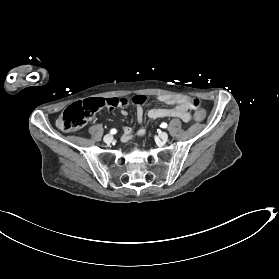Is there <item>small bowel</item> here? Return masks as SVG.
Segmentation results:
<instances>
[{
  "instance_id": "c3829d8e",
  "label": "small bowel",
  "mask_w": 279,
  "mask_h": 279,
  "mask_svg": "<svg viewBox=\"0 0 279 279\" xmlns=\"http://www.w3.org/2000/svg\"><path fill=\"white\" fill-rule=\"evenodd\" d=\"M159 101L172 105L169 108H153L149 111L148 115L151 119L167 118V117H177L184 122H189L191 119L190 108L181 98H174L169 95H160L158 97ZM122 115L126 116L127 111L122 110ZM137 119L140 123L143 121V110L141 107L137 108ZM145 134L143 129L137 132V135L142 136ZM134 129L127 126L123 129L122 140L128 141L134 137Z\"/></svg>"
}]
</instances>
